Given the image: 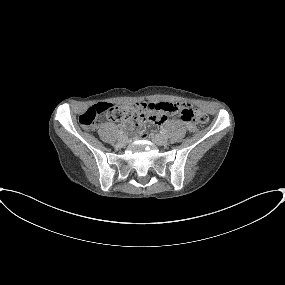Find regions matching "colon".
<instances>
[{
	"instance_id": "colon-1",
	"label": "colon",
	"mask_w": 285,
	"mask_h": 285,
	"mask_svg": "<svg viewBox=\"0 0 285 285\" xmlns=\"http://www.w3.org/2000/svg\"><path fill=\"white\" fill-rule=\"evenodd\" d=\"M169 110L172 114L179 115L186 122L204 124L208 120V116L204 112L193 108L186 102L173 103ZM151 112L152 106L147 104L116 106L111 103L101 102L85 110L80 115L79 121L83 128L92 130L104 118L134 122L141 116L148 115Z\"/></svg>"
}]
</instances>
